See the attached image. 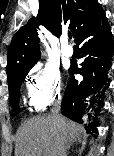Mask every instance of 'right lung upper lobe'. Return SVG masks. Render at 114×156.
<instances>
[{"label": "right lung upper lobe", "instance_id": "obj_1", "mask_svg": "<svg viewBox=\"0 0 114 156\" xmlns=\"http://www.w3.org/2000/svg\"><path fill=\"white\" fill-rule=\"evenodd\" d=\"M97 0H39L38 18L14 35L8 49L7 81L29 70L40 59L38 25L59 36L68 27L74 38L101 10Z\"/></svg>", "mask_w": 114, "mask_h": 156}]
</instances>
